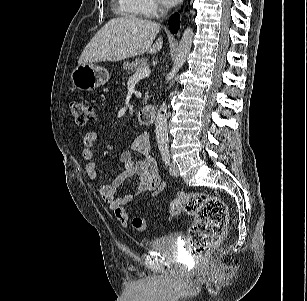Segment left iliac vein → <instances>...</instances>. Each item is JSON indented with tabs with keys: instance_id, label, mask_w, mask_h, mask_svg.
Returning a JSON list of instances; mask_svg holds the SVG:
<instances>
[{
	"instance_id": "obj_1",
	"label": "left iliac vein",
	"mask_w": 307,
	"mask_h": 301,
	"mask_svg": "<svg viewBox=\"0 0 307 301\" xmlns=\"http://www.w3.org/2000/svg\"><path fill=\"white\" fill-rule=\"evenodd\" d=\"M169 172L172 176H179V169L175 161H171L169 165Z\"/></svg>"
}]
</instances>
